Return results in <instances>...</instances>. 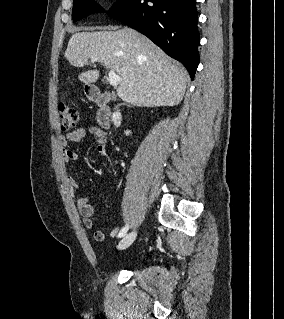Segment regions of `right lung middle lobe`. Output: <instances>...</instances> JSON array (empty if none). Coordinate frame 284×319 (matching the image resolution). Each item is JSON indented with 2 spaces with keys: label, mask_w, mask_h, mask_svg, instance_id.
I'll list each match as a JSON object with an SVG mask.
<instances>
[{
  "label": "right lung middle lobe",
  "mask_w": 284,
  "mask_h": 319,
  "mask_svg": "<svg viewBox=\"0 0 284 319\" xmlns=\"http://www.w3.org/2000/svg\"><path fill=\"white\" fill-rule=\"evenodd\" d=\"M131 1L132 0H118V2L113 6V8H117V7H120L122 5H126V4L130 3ZM113 8H111V9H113ZM94 12H105V10L103 8H101L95 2V0H73L72 19L74 21H77L83 17H86L89 14H92Z\"/></svg>",
  "instance_id": "dd1d6c3e"
}]
</instances>
